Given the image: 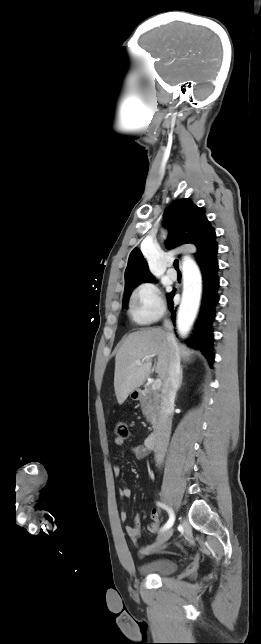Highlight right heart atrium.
I'll list each match as a JSON object with an SVG mask.
<instances>
[{"label":"right heart atrium","instance_id":"right-heart-atrium-1","mask_svg":"<svg viewBox=\"0 0 261 644\" xmlns=\"http://www.w3.org/2000/svg\"><path fill=\"white\" fill-rule=\"evenodd\" d=\"M131 312L140 324H149L160 319L165 312V304L160 289L153 283H143L133 292Z\"/></svg>","mask_w":261,"mask_h":644}]
</instances>
